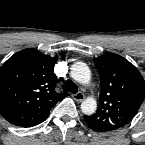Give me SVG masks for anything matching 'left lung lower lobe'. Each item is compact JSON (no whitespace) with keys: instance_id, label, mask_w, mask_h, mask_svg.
I'll list each match as a JSON object with an SVG mask.
<instances>
[{"instance_id":"1","label":"left lung lower lobe","mask_w":145,"mask_h":145,"mask_svg":"<svg viewBox=\"0 0 145 145\" xmlns=\"http://www.w3.org/2000/svg\"><path fill=\"white\" fill-rule=\"evenodd\" d=\"M91 129H93V128H91ZM94 131H97V132H103V131H100V130H97V129H93Z\"/></svg>"}]
</instances>
